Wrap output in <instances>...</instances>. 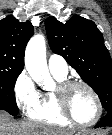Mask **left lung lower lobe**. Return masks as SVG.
<instances>
[{"label":"left lung lower lobe","instance_id":"obj_1","mask_svg":"<svg viewBox=\"0 0 112 135\" xmlns=\"http://www.w3.org/2000/svg\"><path fill=\"white\" fill-rule=\"evenodd\" d=\"M110 126L112 127V112L106 114V116L95 125V128Z\"/></svg>","mask_w":112,"mask_h":135}]
</instances>
